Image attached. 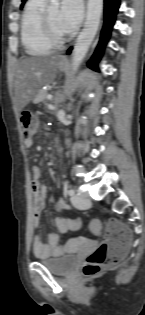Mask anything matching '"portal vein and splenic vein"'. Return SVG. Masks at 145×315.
I'll use <instances>...</instances> for the list:
<instances>
[{"label":"portal vein and splenic vein","instance_id":"1","mask_svg":"<svg viewBox=\"0 0 145 315\" xmlns=\"http://www.w3.org/2000/svg\"><path fill=\"white\" fill-rule=\"evenodd\" d=\"M47 99H48V100H51V99H52V95L48 94V95H47Z\"/></svg>","mask_w":145,"mask_h":315}]
</instances>
